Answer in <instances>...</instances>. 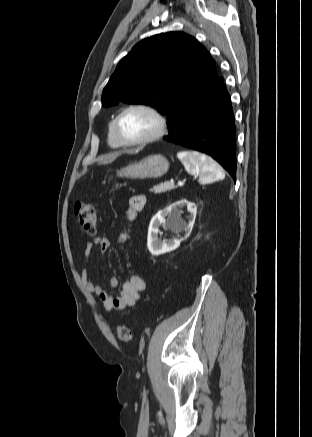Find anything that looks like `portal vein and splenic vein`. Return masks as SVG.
Returning <instances> with one entry per match:
<instances>
[{
	"label": "portal vein and splenic vein",
	"instance_id": "obj_1",
	"mask_svg": "<svg viewBox=\"0 0 312 437\" xmlns=\"http://www.w3.org/2000/svg\"><path fill=\"white\" fill-rule=\"evenodd\" d=\"M185 183V181L183 180V181H178V185H183Z\"/></svg>",
	"mask_w": 312,
	"mask_h": 437
}]
</instances>
